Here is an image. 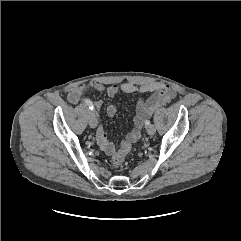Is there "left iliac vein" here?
Returning <instances> with one entry per match:
<instances>
[{"mask_svg": "<svg viewBox=\"0 0 241 241\" xmlns=\"http://www.w3.org/2000/svg\"><path fill=\"white\" fill-rule=\"evenodd\" d=\"M146 130H147V133L149 135H154L155 132H156V128L153 124H149L147 127H146Z\"/></svg>", "mask_w": 241, "mask_h": 241, "instance_id": "1", "label": "left iliac vein"}]
</instances>
